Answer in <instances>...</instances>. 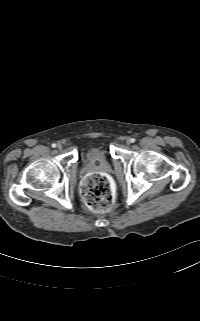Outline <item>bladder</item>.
<instances>
[{"label": "bladder", "mask_w": 200, "mask_h": 321, "mask_svg": "<svg viewBox=\"0 0 200 321\" xmlns=\"http://www.w3.org/2000/svg\"><path fill=\"white\" fill-rule=\"evenodd\" d=\"M103 152H104L103 147H90L86 152V158L88 160L96 159L98 155H100Z\"/></svg>", "instance_id": "obj_1"}]
</instances>
